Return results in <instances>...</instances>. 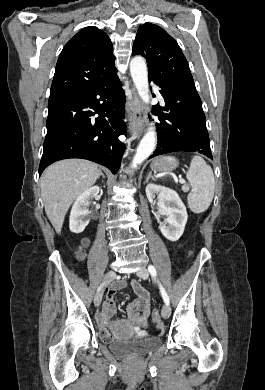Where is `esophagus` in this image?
<instances>
[{
    "label": "esophagus",
    "mask_w": 265,
    "mask_h": 390,
    "mask_svg": "<svg viewBox=\"0 0 265 390\" xmlns=\"http://www.w3.org/2000/svg\"><path fill=\"white\" fill-rule=\"evenodd\" d=\"M129 110L131 115L129 126L130 132L140 136L143 133L146 116L135 90L133 91V99L129 101Z\"/></svg>",
    "instance_id": "esophagus-1"
}]
</instances>
